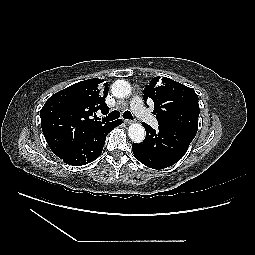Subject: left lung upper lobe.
Masks as SVG:
<instances>
[{
	"instance_id": "1",
	"label": "left lung upper lobe",
	"mask_w": 255,
	"mask_h": 255,
	"mask_svg": "<svg viewBox=\"0 0 255 255\" xmlns=\"http://www.w3.org/2000/svg\"><path fill=\"white\" fill-rule=\"evenodd\" d=\"M143 99L154 102L153 113L159 124L197 130L200 109L194 89L166 77H155L144 89Z\"/></svg>"
}]
</instances>
